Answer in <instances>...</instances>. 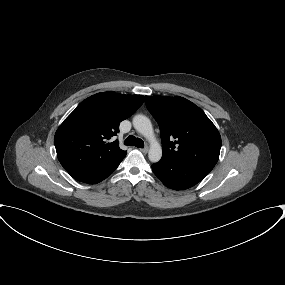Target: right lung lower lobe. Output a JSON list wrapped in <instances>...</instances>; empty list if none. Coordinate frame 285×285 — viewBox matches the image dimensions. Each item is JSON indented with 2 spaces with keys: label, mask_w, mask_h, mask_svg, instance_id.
<instances>
[{
  "label": "right lung lower lobe",
  "mask_w": 285,
  "mask_h": 285,
  "mask_svg": "<svg viewBox=\"0 0 285 285\" xmlns=\"http://www.w3.org/2000/svg\"><path fill=\"white\" fill-rule=\"evenodd\" d=\"M120 164V163H119ZM104 171V172H91L86 173L82 172L78 169H68L67 172L76 180L88 184H96L100 181L104 180L106 177H108L117 167L118 165Z\"/></svg>",
  "instance_id": "98d812e1"
}]
</instances>
